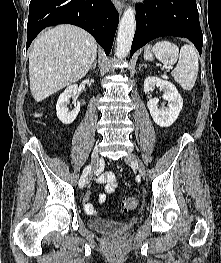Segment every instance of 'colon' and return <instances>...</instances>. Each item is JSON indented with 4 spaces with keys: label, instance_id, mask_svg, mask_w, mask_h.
I'll list each match as a JSON object with an SVG mask.
<instances>
[{
    "label": "colon",
    "instance_id": "1",
    "mask_svg": "<svg viewBox=\"0 0 221 263\" xmlns=\"http://www.w3.org/2000/svg\"><path fill=\"white\" fill-rule=\"evenodd\" d=\"M138 205L139 201L136 197H127L121 203L122 210L125 212L135 210L138 207Z\"/></svg>",
    "mask_w": 221,
    "mask_h": 263
}]
</instances>
